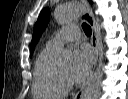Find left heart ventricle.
Masks as SVG:
<instances>
[{
    "label": "left heart ventricle",
    "instance_id": "obj_1",
    "mask_svg": "<svg viewBox=\"0 0 128 99\" xmlns=\"http://www.w3.org/2000/svg\"><path fill=\"white\" fill-rule=\"evenodd\" d=\"M60 69H61V71L63 73H65L66 75L69 76V73H70V64H67L65 66H62Z\"/></svg>",
    "mask_w": 128,
    "mask_h": 99
}]
</instances>
